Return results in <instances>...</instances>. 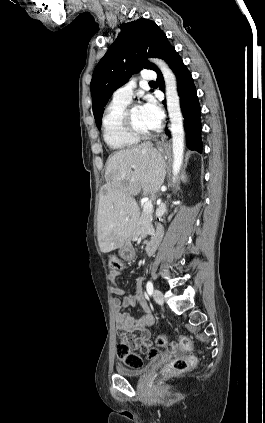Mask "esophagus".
<instances>
[{
    "label": "esophagus",
    "mask_w": 265,
    "mask_h": 423,
    "mask_svg": "<svg viewBox=\"0 0 265 423\" xmlns=\"http://www.w3.org/2000/svg\"><path fill=\"white\" fill-rule=\"evenodd\" d=\"M159 143H160V145H161V146L165 145V140H164V138H162V139L159 141Z\"/></svg>",
    "instance_id": "obj_1"
}]
</instances>
